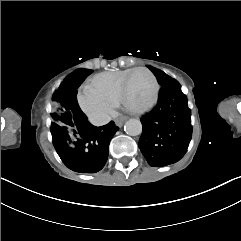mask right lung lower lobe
<instances>
[{"mask_svg": "<svg viewBox=\"0 0 241 241\" xmlns=\"http://www.w3.org/2000/svg\"><path fill=\"white\" fill-rule=\"evenodd\" d=\"M78 71L66 78V105L72 116L74 128L72 131L51 132L53 145L63 161L71 170L80 173H95L100 171L108 158L109 143L119 130L111 121L96 127L88 122L87 116L81 111L76 95L77 88L85 80Z\"/></svg>", "mask_w": 241, "mask_h": 241, "instance_id": "1", "label": "right lung lower lobe"}]
</instances>
